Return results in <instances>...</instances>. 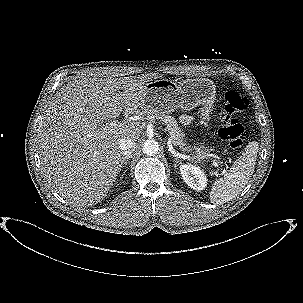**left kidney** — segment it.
<instances>
[{
    "label": "left kidney",
    "instance_id": "5707ae66",
    "mask_svg": "<svg viewBox=\"0 0 303 303\" xmlns=\"http://www.w3.org/2000/svg\"><path fill=\"white\" fill-rule=\"evenodd\" d=\"M180 171L185 183L197 191H202L207 186V179L203 172L193 165H181Z\"/></svg>",
    "mask_w": 303,
    "mask_h": 303
}]
</instances>
